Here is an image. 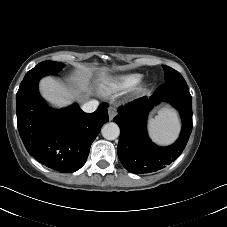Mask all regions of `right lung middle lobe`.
<instances>
[{"mask_svg": "<svg viewBox=\"0 0 227 227\" xmlns=\"http://www.w3.org/2000/svg\"><path fill=\"white\" fill-rule=\"evenodd\" d=\"M63 67V64L55 61H43L31 69L28 74L38 73V72H58Z\"/></svg>", "mask_w": 227, "mask_h": 227, "instance_id": "right-lung-middle-lobe-1", "label": "right lung middle lobe"}]
</instances>
